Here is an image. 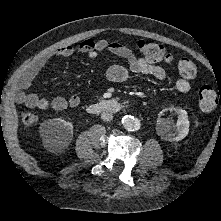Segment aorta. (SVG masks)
I'll list each match as a JSON object with an SVG mask.
<instances>
[{
    "label": "aorta",
    "mask_w": 221,
    "mask_h": 221,
    "mask_svg": "<svg viewBox=\"0 0 221 221\" xmlns=\"http://www.w3.org/2000/svg\"><path fill=\"white\" fill-rule=\"evenodd\" d=\"M122 125L126 130L134 131L140 128V121L131 115H125L122 118Z\"/></svg>",
    "instance_id": "1"
}]
</instances>
